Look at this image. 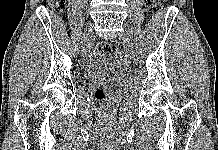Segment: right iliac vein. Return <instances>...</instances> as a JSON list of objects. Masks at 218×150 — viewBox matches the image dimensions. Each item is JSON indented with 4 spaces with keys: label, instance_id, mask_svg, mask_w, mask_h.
<instances>
[{
    "label": "right iliac vein",
    "instance_id": "1",
    "mask_svg": "<svg viewBox=\"0 0 218 150\" xmlns=\"http://www.w3.org/2000/svg\"><path fill=\"white\" fill-rule=\"evenodd\" d=\"M93 36V26L91 24H89L82 36V43L85 44L87 43Z\"/></svg>",
    "mask_w": 218,
    "mask_h": 150
}]
</instances>
